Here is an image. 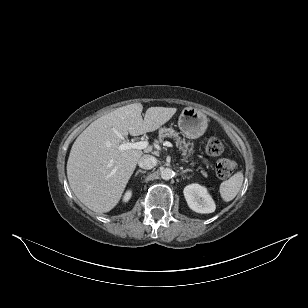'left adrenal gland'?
Returning <instances> with one entry per match:
<instances>
[{
	"label": "left adrenal gland",
	"instance_id": "a2214340",
	"mask_svg": "<svg viewBox=\"0 0 308 308\" xmlns=\"http://www.w3.org/2000/svg\"><path fill=\"white\" fill-rule=\"evenodd\" d=\"M182 170H181V172L184 174V173H186V172H192V170L191 169H185V170H183V168H181Z\"/></svg>",
	"mask_w": 308,
	"mask_h": 308
}]
</instances>
